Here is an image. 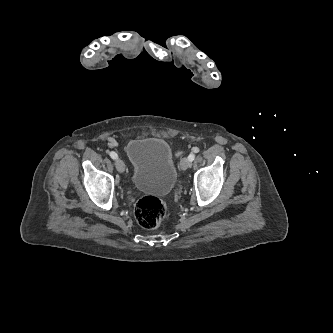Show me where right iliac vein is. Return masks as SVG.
Segmentation results:
<instances>
[{"label": "right iliac vein", "mask_w": 333, "mask_h": 333, "mask_svg": "<svg viewBox=\"0 0 333 333\" xmlns=\"http://www.w3.org/2000/svg\"><path fill=\"white\" fill-rule=\"evenodd\" d=\"M115 167L120 173H123L125 171V165L121 159L115 160Z\"/></svg>", "instance_id": "1"}]
</instances>
